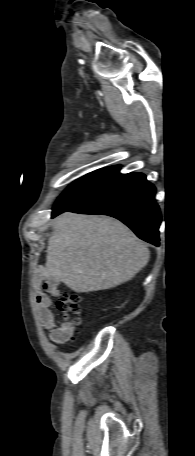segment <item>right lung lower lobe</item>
<instances>
[{"label": "right lung lower lobe", "mask_w": 195, "mask_h": 456, "mask_svg": "<svg viewBox=\"0 0 195 456\" xmlns=\"http://www.w3.org/2000/svg\"><path fill=\"white\" fill-rule=\"evenodd\" d=\"M155 192L144 174H119L98 193L66 211L115 217L139 238L158 246L161 213L154 200ZM59 214H52V217Z\"/></svg>", "instance_id": "98d812e1"}]
</instances>
